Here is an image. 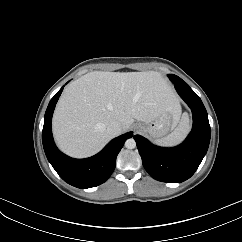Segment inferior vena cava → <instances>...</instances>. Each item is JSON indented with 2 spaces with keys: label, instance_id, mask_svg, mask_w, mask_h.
Segmentation results:
<instances>
[{
  "label": "inferior vena cava",
  "instance_id": "inferior-vena-cava-1",
  "mask_svg": "<svg viewBox=\"0 0 242 242\" xmlns=\"http://www.w3.org/2000/svg\"><path fill=\"white\" fill-rule=\"evenodd\" d=\"M107 131L111 135L117 136V135L121 134L122 128H121V125L119 123H112L108 126Z\"/></svg>",
  "mask_w": 242,
  "mask_h": 242
}]
</instances>
